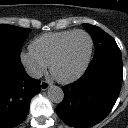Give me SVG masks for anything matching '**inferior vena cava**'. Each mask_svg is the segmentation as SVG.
Listing matches in <instances>:
<instances>
[{"label":"inferior vena cava","mask_w":128,"mask_h":128,"mask_svg":"<svg viewBox=\"0 0 128 128\" xmlns=\"http://www.w3.org/2000/svg\"><path fill=\"white\" fill-rule=\"evenodd\" d=\"M26 73L30 77L35 78V79H39L43 76V73L41 72V70H39L33 66H27L26 67Z\"/></svg>","instance_id":"602c4592"}]
</instances>
